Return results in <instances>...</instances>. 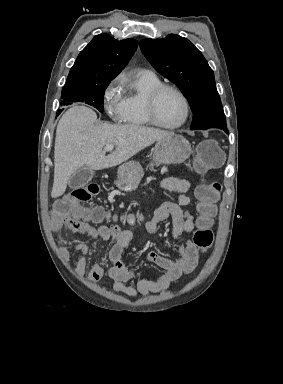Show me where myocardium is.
Wrapping results in <instances>:
<instances>
[{
	"label": "myocardium",
	"instance_id": "obj_1",
	"mask_svg": "<svg viewBox=\"0 0 283 384\" xmlns=\"http://www.w3.org/2000/svg\"><path fill=\"white\" fill-rule=\"evenodd\" d=\"M165 91H172V92L176 93L181 98V100L184 104V117H183V119L181 120V122H179L175 125H172V126H167V125H163L162 123H160L156 117V114H155V107H156L157 100L161 96V94ZM144 112H145V115H146L148 122L152 126L159 128V129H162V130H177V129L183 127L187 123L189 116H190V105H189L187 97L185 96V94L180 89H178L177 87H175L173 85L161 84V85L157 86L156 88H154L147 95L145 102H144Z\"/></svg>",
	"mask_w": 283,
	"mask_h": 384
}]
</instances>
